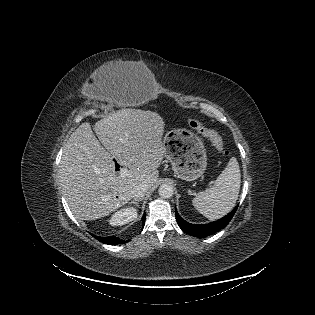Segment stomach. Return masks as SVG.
Here are the masks:
<instances>
[{
	"label": "stomach",
	"mask_w": 315,
	"mask_h": 315,
	"mask_svg": "<svg viewBox=\"0 0 315 315\" xmlns=\"http://www.w3.org/2000/svg\"><path fill=\"white\" fill-rule=\"evenodd\" d=\"M165 157L174 173L181 179H198L207 166L206 149L202 140L187 129H173L164 137Z\"/></svg>",
	"instance_id": "obj_1"
}]
</instances>
